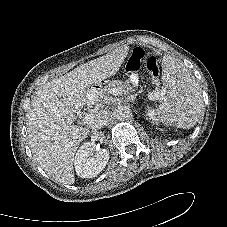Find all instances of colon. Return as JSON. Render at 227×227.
Instances as JSON below:
<instances>
[{
	"label": "colon",
	"mask_w": 227,
	"mask_h": 227,
	"mask_svg": "<svg viewBox=\"0 0 227 227\" xmlns=\"http://www.w3.org/2000/svg\"><path fill=\"white\" fill-rule=\"evenodd\" d=\"M144 66L154 84L159 83V66L154 56H146L145 51L136 47L131 52L126 62V70L129 72L138 71Z\"/></svg>",
	"instance_id": "obj_1"
}]
</instances>
